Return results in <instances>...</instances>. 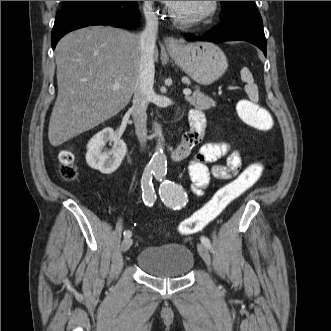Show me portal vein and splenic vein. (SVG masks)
<instances>
[{"instance_id": "1", "label": "portal vein and splenic vein", "mask_w": 331, "mask_h": 331, "mask_svg": "<svg viewBox=\"0 0 331 331\" xmlns=\"http://www.w3.org/2000/svg\"><path fill=\"white\" fill-rule=\"evenodd\" d=\"M119 88V84L118 83H116V84H114L113 85V89L114 90H116V89H118ZM183 93L186 95V96H189L191 93H192V91L190 90V89H184L183 90Z\"/></svg>"}]
</instances>
